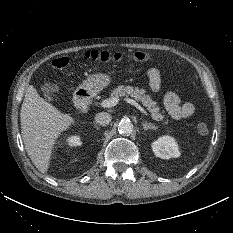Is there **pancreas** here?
<instances>
[{"instance_id":"pancreas-1","label":"pancreas","mask_w":233,"mask_h":233,"mask_svg":"<svg viewBox=\"0 0 233 233\" xmlns=\"http://www.w3.org/2000/svg\"><path fill=\"white\" fill-rule=\"evenodd\" d=\"M111 96L116 98L123 96L133 97L147 108L155 120L165 119V117L160 113V108L157 106V103L152 100L150 95L146 94L144 89H139L137 87L133 88L132 86H118L112 90ZM168 121L169 120L166 119L164 124H168Z\"/></svg>"}]
</instances>
